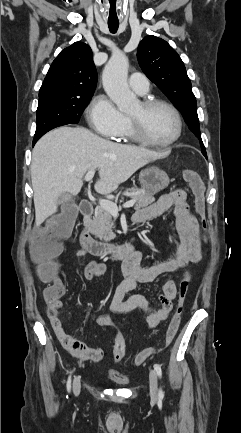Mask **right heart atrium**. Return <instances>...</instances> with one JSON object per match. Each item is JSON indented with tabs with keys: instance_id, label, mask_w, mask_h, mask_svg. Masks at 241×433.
I'll return each instance as SVG.
<instances>
[{
	"instance_id": "1",
	"label": "right heart atrium",
	"mask_w": 241,
	"mask_h": 433,
	"mask_svg": "<svg viewBox=\"0 0 241 433\" xmlns=\"http://www.w3.org/2000/svg\"><path fill=\"white\" fill-rule=\"evenodd\" d=\"M87 115L91 127L106 137L118 135L126 123V117L103 95L92 100Z\"/></svg>"
}]
</instances>
